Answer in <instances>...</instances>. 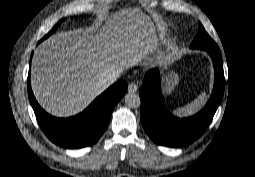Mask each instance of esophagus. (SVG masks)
<instances>
[{"mask_svg": "<svg viewBox=\"0 0 255 177\" xmlns=\"http://www.w3.org/2000/svg\"><path fill=\"white\" fill-rule=\"evenodd\" d=\"M137 89H138V87H137L136 84H130L129 87H128V91H129L130 93L136 92Z\"/></svg>", "mask_w": 255, "mask_h": 177, "instance_id": "esophagus-1", "label": "esophagus"}]
</instances>
